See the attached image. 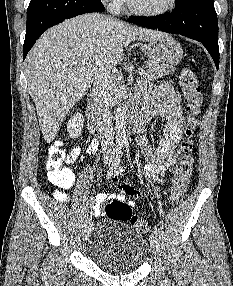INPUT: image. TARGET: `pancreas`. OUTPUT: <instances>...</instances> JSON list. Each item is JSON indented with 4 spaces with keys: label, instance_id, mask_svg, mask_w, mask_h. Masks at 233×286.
Here are the masks:
<instances>
[{
    "label": "pancreas",
    "instance_id": "1",
    "mask_svg": "<svg viewBox=\"0 0 233 286\" xmlns=\"http://www.w3.org/2000/svg\"><path fill=\"white\" fill-rule=\"evenodd\" d=\"M146 68L148 69L145 70V74L141 75V78L143 80L154 81L168 75L169 73H174V69H171L169 71L163 67L155 66L151 63H147Z\"/></svg>",
    "mask_w": 233,
    "mask_h": 286
}]
</instances>
